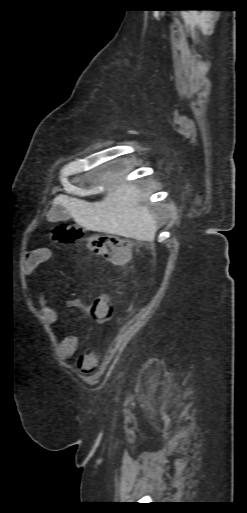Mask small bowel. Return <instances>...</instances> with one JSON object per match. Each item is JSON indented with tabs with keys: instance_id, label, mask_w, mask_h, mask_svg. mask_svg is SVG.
I'll return each instance as SVG.
<instances>
[{
	"instance_id": "obj_1",
	"label": "small bowel",
	"mask_w": 247,
	"mask_h": 513,
	"mask_svg": "<svg viewBox=\"0 0 247 513\" xmlns=\"http://www.w3.org/2000/svg\"><path fill=\"white\" fill-rule=\"evenodd\" d=\"M50 255V251L48 249H40L31 254L27 255L24 259L23 264V272L26 277H29L33 274V272L48 259ZM99 300V299H96ZM38 301L40 304V315L43 323L51 327L57 321V312L50 305L46 295L44 293H40L38 296ZM91 304V303H90ZM90 304L84 303L82 299H74L73 306L79 308L84 313L88 314L91 318L93 316L90 313ZM79 340L75 335H67L62 338L58 344V353L59 357L62 360H66L72 357L78 348ZM96 363V357L92 354H87L82 357L78 363V368L81 372L87 373L90 372Z\"/></svg>"
}]
</instances>
